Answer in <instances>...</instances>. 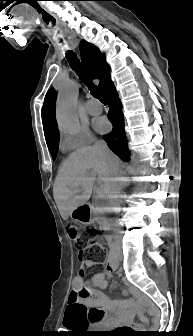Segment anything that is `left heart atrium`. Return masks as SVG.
I'll list each match as a JSON object with an SVG mask.
<instances>
[{
	"label": "left heart atrium",
	"mask_w": 193,
	"mask_h": 336,
	"mask_svg": "<svg viewBox=\"0 0 193 336\" xmlns=\"http://www.w3.org/2000/svg\"><path fill=\"white\" fill-rule=\"evenodd\" d=\"M95 127L100 132H105L109 128V123L106 119L100 118L95 122Z\"/></svg>",
	"instance_id": "left-heart-atrium-1"
}]
</instances>
